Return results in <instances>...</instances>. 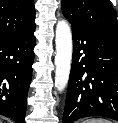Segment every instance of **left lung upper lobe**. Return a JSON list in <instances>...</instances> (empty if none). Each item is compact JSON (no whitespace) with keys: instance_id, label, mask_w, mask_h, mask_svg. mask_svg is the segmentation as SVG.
<instances>
[{"instance_id":"5c2ea615","label":"left lung upper lobe","mask_w":118,"mask_h":123,"mask_svg":"<svg viewBox=\"0 0 118 123\" xmlns=\"http://www.w3.org/2000/svg\"><path fill=\"white\" fill-rule=\"evenodd\" d=\"M62 12L72 26L118 37L116 11L108 0H62Z\"/></svg>"}]
</instances>
